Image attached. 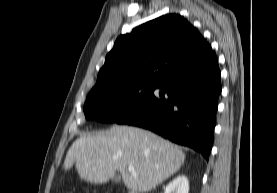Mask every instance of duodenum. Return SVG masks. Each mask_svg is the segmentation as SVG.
<instances>
[{
	"mask_svg": "<svg viewBox=\"0 0 277 193\" xmlns=\"http://www.w3.org/2000/svg\"><path fill=\"white\" fill-rule=\"evenodd\" d=\"M129 193H136V192H134V191H130Z\"/></svg>",
	"mask_w": 277,
	"mask_h": 193,
	"instance_id": "duodenum-1",
	"label": "duodenum"
}]
</instances>
